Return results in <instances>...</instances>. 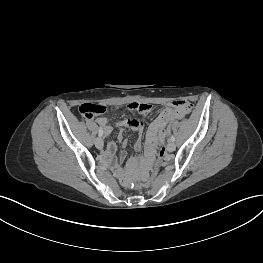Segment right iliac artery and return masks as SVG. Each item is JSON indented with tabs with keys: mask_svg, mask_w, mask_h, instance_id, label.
I'll return each instance as SVG.
<instances>
[{
	"mask_svg": "<svg viewBox=\"0 0 263 263\" xmlns=\"http://www.w3.org/2000/svg\"><path fill=\"white\" fill-rule=\"evenodd\" d=\"M103 135V131H102V128L99 127V133H98V136L101 137Z\"/></svg>",
	"mask_w": 263,
	"mask_h": 263,
	"instance_id": "1",
	"label": "right iliac artery"
}]
</instances>
